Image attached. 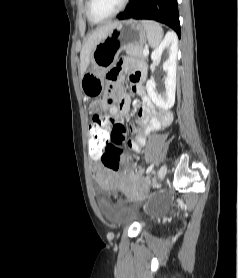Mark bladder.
Segmentation results:
<instances>
[{"label":"bladder","instance_id":"obj_1","mask_svg":"<svg viewBox=\"0 0 238 278\" xmlns=\"http://www.w3.org/2000/svg\"><path fill=\"white\" fill-rule=\"evenodd\" d=\"M100 209L104 218L110 223H119L130 221L134 213L127 207L116 205L105 200H101Z\"/></svg>","mask_w":238,"mask_h":278}]
</instances>
